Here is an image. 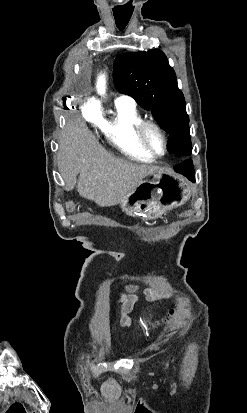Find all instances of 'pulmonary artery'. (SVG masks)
<instances>
[{
    "label": "pulmonary artery",
    "instance_id": "obj_1",
    "mask_svg": "<svg viewBox=\"0 0 247 413\" xmlns=\"http://www.w3.org/2000/svg\"><path fill=\"white\" fill-rule=\"evenodd\" d=\"M118 104L125 105V104H132L134 99L132 96L128 94H119L116 98Z\"/></svg>",
    "mask_w": 247,
    "mask_h": 413
}]
</instances>
